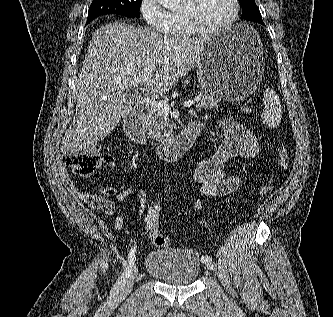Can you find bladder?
<instances>
[{"label": "bladder", "instance_id": "bladder-1", "mask_svg": "<svg viewBox=\"0 0 333 317\" xmlns=\"http://www.w3.org/2000/svg\"><path fill=\"white\" fill-rule=\"evenodd\" d=\"M199 254L187 248L155 249L146 254V272L165 283L189 285L196 282L201 273Z\"/></svg>", "mask_w": 333, "mask_h": 317}]
</instances>
